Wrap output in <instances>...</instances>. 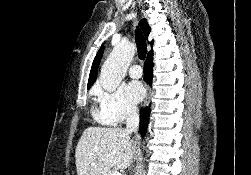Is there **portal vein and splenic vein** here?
Masks as SVG:
<instances>
[{
  "label": "portal vein and splenic vein",
  "instance_id": "1",
  "mask_svg": "<svg viewBox=\"0 0 251 175\" xmlns=\"http://www.w3.org/2000/svg\"><path fill=\"white\" fill-rule=\"evenodd\" d=\"M110 175H122V173H120V171H113V173H110Z\"/></svg>",
  "mask_w": 251,
  "mask_h": 175
}]
</instances>
